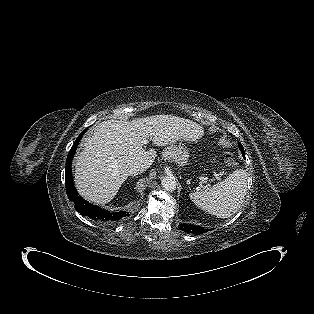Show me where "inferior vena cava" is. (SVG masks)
<instances>
[{
  "instance_id": "602c4592",
  "label": "inferior vena cava",
  "mask_w": 314,
  "mask_h": 314,
  "mask_svg": "<svg viewBox=\"0 0 314 314\" xmlns=\"http://www.w3.org/2000/svg\"><path fill=\"white\" fill-rule=\"evenodd\" d=\"M144 171L143 166L139 164H130L126 169V173L128 176H135Z\"/></svg>"
}]
</instances>
